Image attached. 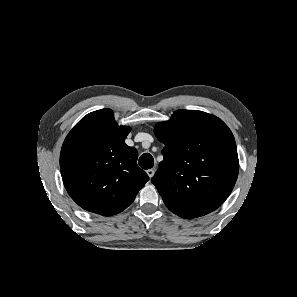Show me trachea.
Returning a JSON list of instances; mask_svg holds the SVG:
<instances>
[{
	"mask_svg": "<svg viewBox=\"0 0 297 297\" xmlns=\"http://www.w3.org/2000/svg\"><path fill=\"white\" fill-rule=\"evenodd\" d=\"M139 165L143 169H150L154 165V159L151 154L149 153H144L141 155L138 161Z\"/></svg>",
	"mask_w": 297,
	"mask_h": 297,
	"instance_id": "3493384b",
	"label": "trachea"
}]
</instances>
